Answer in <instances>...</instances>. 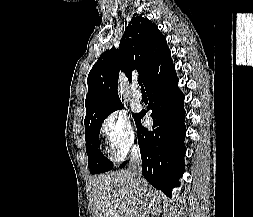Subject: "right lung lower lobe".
Masks as SVG:
<instances>
[{"instance_id": "obj_1", "label": "right lung lower lobe", "mask_w": 253, "mask_h": 217, "mask_svg": "<svg viewBox=\"0 0 253 217\" xmlns=\"http://www.w3.org/2000/svg\"><path fill=\"white\" fill-rule=\"evenodd\" d=\"M175 66L171 64L151 78L146 86L149 99L148 110H152V129L142 126L146 111L136 114L138 144L142 158V174L156 189L171 197L172 188L178 187L179 177L185 169L184 95L178 89ZM122 163L120 167L124 166Z\"/></svg>"}]
</instances>
